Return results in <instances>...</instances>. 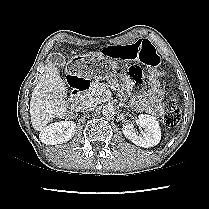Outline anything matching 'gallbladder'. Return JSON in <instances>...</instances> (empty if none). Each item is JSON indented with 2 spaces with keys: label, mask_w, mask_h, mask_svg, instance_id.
Instances as JSON below:
<instances>
[{
  "label": "gallbladder",
  "mask_w": 209,
  "mask_h": 209,
  "mask_svg": "<svg viewBox=\"0 0 209 209\" xmlns=\"http://www.w3.org/2000/svg\"><path fill=\"white\" fill-rule=\"evenodd\" d=\"M51 61L59 66H64L66 64L65 57L60 53L51 54Z\"/></svg>",
  "instance_id": "1"
}]
</instances>
